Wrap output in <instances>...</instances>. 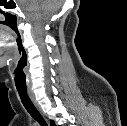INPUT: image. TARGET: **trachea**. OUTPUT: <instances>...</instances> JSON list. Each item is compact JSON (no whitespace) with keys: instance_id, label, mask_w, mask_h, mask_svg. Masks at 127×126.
Wrapping results in <instances>:
<instances>
[{"instance_id":"1","label":"trachea","mask_w":127,"mask_h":126,"mask_svg":"<svg viewBox=\"0 0 127 126\" xmlns=\"http://www.w3.org/2000/svg\"><path fill=\"white\" fill-rule=\"evenodd\" d=\"M17 91L19 93L21 102L23 103L27 112L32 116V118L35 121H37L41 126H47V123L44 120L43 116L40 114V112L37 110V108L31 101L30 97L28 96L26 88L25 89L17 88Z\"/></svg>"}]
</instances>
